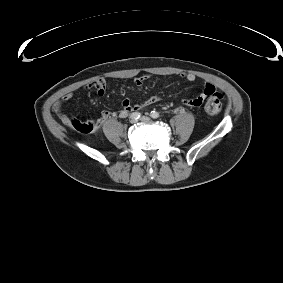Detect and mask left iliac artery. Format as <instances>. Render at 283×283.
Returning <instances> with one entry per match:
<instances>
[{"mask_svg": "<svg viewBox=\"0 0 283 283\" xmlns=\"http://www.w3.org/2000/svg\"><path fill=\"white\" fill-rule=\"evenodd\" d=\"M151 117H152V118H158V117H159V114H158L156 111H152V112H151Z\"/></svg>", "mask_w": 283, "mask_h": 283, "instance_id": "obj_1", "label": "left iliac artery"}]
</instances>
